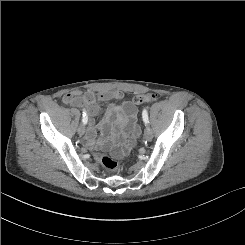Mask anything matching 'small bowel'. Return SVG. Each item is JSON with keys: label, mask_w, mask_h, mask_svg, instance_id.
Returning <instances> with one entry per match:
<instances>
[{"label": "small bowel", "mask_w": 245, "mask_h": 245, "mask_svg": "<svg viewBox=\"0 0 245 245\" xmlns=\"http://www.w3.org/2000/svg\"><path fill=\"white\" fill-rule=\"evenodd\" d=\"M109 100H116L118 103H112L107 107L99 123L91 122L87 144L89 146L95 144L98 130L107 134L114 125L112 142L117 147L116 151L123 154L135 144L140 135V128L137 125V110L122 91L106 90L98 93L87 91L82 95L74 92L63 97V102L66 104H73L77 101L82 103L92 118L99 112L98 101Z\"/></svg>", "instance_id": "small-bowel-1"}]
</instances>
